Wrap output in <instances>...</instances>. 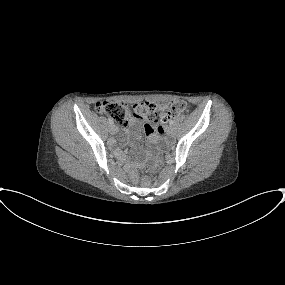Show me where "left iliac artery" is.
Returning <instances> with one entry per match:
<instances>
[{"mask_svg": "<svg viewBox=\"0 0 285 285\" xmlns=\"http://www.w3.org/2000/svg\"><path fill=\"white\" fill-rule=\"evenodd\" d=\"M173 123H174L173 120H170V121H169V124H170V125H173Z\"/></svg>", "mask_w": 285, "mask_h": 285, "instance_id": "1", "label": "left iliac artery"}]
</instances>
